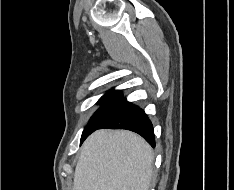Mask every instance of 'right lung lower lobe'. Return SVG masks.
Returning a JSON list of instances; mask_svg holds the SVG:
<instances>
[{"instance_id":"obj_1","label":"right lung lower lobe","mask_w":234,"mask_h":190,"mask_svg":"<svg viewBox=\"0 0 234 190\" xmlns=\"http://www.w3.org/2000/svg\"><path fill=\"white\" fill-rule=\"evenodd\" d=\"M103 128L131 130L141 135L152 147H155L151 121L141 108L128 102L126 98L121 97L111 114L97 129ZM92 132L82 135L81 143Z\"/></svg>"}]
</instances>
